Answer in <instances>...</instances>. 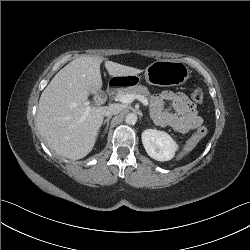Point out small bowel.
Returning a JSON list of instances; mask_svg holds the SVG:
<instances>
[{
  "instance_id": "small-bowel-1",
  "label": "small bowel",
  "mask_w": 250,
  "mask_h": 250,
  "mask_svg": "<svg viewBox=\"0 0 250 250\" xmlns=\"http://www.w3.org/2000/svg\"><path fill=\"white\" fill-rule=\"evenodd\" d=\"M153 120L179 133H187L202 124L195 105L182 92L164 91L155 95L151 103Z\"/></svg>"
}]
</instances>
